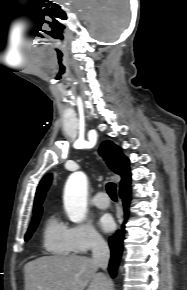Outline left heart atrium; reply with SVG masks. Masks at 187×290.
<instances>
[{
  "mask_svg": "<svg viewBox=\"0 0 187 290\" xmlns=\"http://www.w3.org/2000/svg\"><path fill=\"white\" fill-rule=\"evenodd\" d=\"M98 224L100 228L105 231L109 232L113 229L114 227V221L112 217L108 214H104L99 218Z\"/></svg>",
  "mask_w": 187,
  "mask_h": 290,
  "instance_id": "left-heart-atrium-1",
  "label": "left heart atrium"
}]
</instances>
